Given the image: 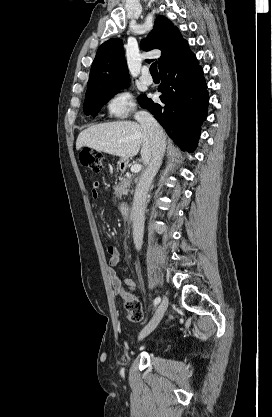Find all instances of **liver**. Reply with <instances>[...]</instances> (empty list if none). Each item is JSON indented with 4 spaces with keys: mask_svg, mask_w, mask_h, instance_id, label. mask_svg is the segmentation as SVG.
<instances>
[{
    "mask_svg": "<svg viewBox=\"0 0 272 417\" xmlns=\"http://www.w3.org/2000/svg\"><path fill=\"white\" fill-rule=\"evenodd\" d=\"M86 146L124 159L138 154L144 165L151 160L152 146L148 131L132 121H118L91 126L77 138L76 149Z\"/></svg>",
    "mask_w": 272,
    "mask_h": 417,
    "instance_id": "obj_1",
    "label": "liver"
}]
</instances>
